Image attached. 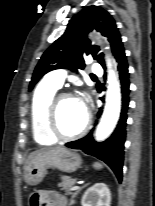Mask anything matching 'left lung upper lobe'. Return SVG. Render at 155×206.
<instances>
[{"label":"left lung upper lobe","instance_id":"obj_1","mask_svg":"<svg viewBox=\"0 0 155 206\" xmlns=\"http://www.w3.org/2000/svg\"><path fill=\"white\" fill-rule=\"evenodd\" d=\"M93 29L108 37L114 55L123 46L111 15L98 6L85 7L72 17L65 33L42 55L34 70L29 90L49 71L67 68L76 72L77 68L83 69L86 55H92L105 68L103 53L87 38V33Z\"/></svg>","mask_w":155,"mask_h":206}]
</instances>
